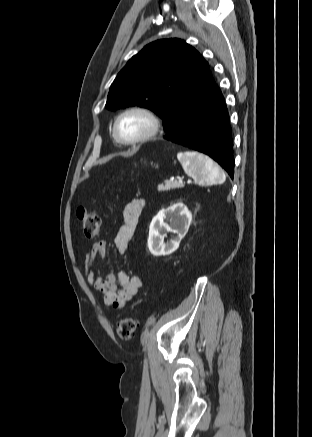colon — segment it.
<instances>
[{"instance_id": "5ec220e1", "label": "colon", "mask_w": 312, "mask_h": 437, "mask_svg": "<svg viewBox=\"0 0 312 437\" xmlns=\"http://www.w3.org/2000/svg\"><path fill=\"white\" fill-rule=\"evenodd\" d=\"M77 217L86 236L93 238L100 234V220L94 211L85 207H79L77 209ZM136 326L137 321L135 318L125 317L118 322L117 334L122 340H130L134 336Z\"/></svg>"}]
</instances>
